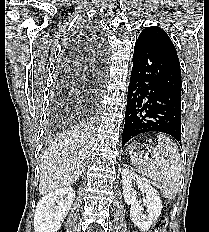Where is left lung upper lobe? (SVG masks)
I'll return each instance as SVG.
<instances>
[{"mask_svg":"<svg viewBox=\"0 0 209 232\" xmlns=\"http://www.w3.org/2000/svg\"><path fill=\"white\" fill-rule=\"evenodd\" d=\"M137 41L145 42L169 55L174 56L176 60L179 61L175 46L171 39L163 29L157 26H151L143 29Z\"/></svg>","mask_w":209,"mask_h":232,"instance_id":"5c2ea615","label":"left lung upper lobe"}]
</instances>
